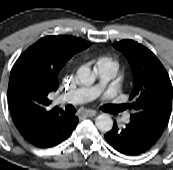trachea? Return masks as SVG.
I'll return each instance as SVG.
<instances>
[{
  "mask_svg": "<svg viewBox=\"0 0 173 170\" xmlns=\"http://www.w3.org/2000/svg\"><path fill=\"white\" fill-rule=\"evenodd\" d=\"M65 110H66V112H69V113H75L76 112L75 108L72 105H67L65 107Z\"/></svg>",
  "mask_w": 173,
  "mask_h": 170,
  "instance_id": "trachea-1",
  "label": "trachea"
}]
</instances>
